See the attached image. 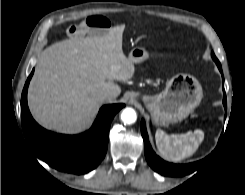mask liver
Here are the masks:
<instances>
[{"label":"liver","instance_id":"liver-1","mask_svg":"<svg viewBox=\"0 0 245 195\" xmlns=\"http://www.w3.org/2000/svg\"><path fill=\"white\" fill-rule=\"evenodd\" d=\"M125 25L101 36L70 38L40 55L28 90V104L43 127L66 134L86 129L103 103L101 95L121 93L116 81L134 76V63L122 50Z\"/></svg>","mask_w":245,"mask_h":195}]
</instances>
